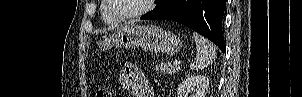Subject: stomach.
<instances>
[{"label":"stomach","instance_id":"obj_1","mask_svg":"<svg viewBox=\"0 0 302 97\" xmlns=\"http://www.w3.org/2000/svg\"><path fill=\"white\" fill-rule=\"evenodd\" d=\"M98 51L104 52L112 47H140L149 52L174 55L182 48L180 38L155 25L126 24L109 39L97 43Z\"/></svg>","mask_w":302,"mask_h":97}]
</instances>
